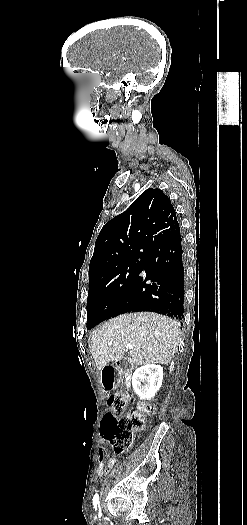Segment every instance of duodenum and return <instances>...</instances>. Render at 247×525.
I'll list each match as a JSON object with an SVG mask.
<instances>
[{
	"label": "duodenum",
	"mask_w": 247,
	"mask_h": 525,
	"mask_svg": "<svg viewBox=\"0 0 247 525\" xmlns=\"http://www.w3.org/2000/svg\"><path fill=\"white\" fill-rule=\"evenodd\" d=\"M122 375L127 384L131 379L132 369L126 359H118L106 365L102 370V385L106 391H110L117 385L119 376Z\"/></svg>",
	"instance_id": "410a0bca"
}]
</instances>
